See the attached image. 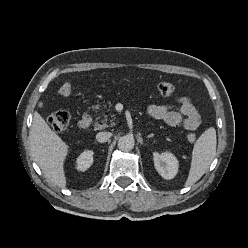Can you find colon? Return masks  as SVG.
Returning <instances> with one entry per match:
<instances>
[{
  "label": "colon",
  "instance_id": "colon-1",
  "mask_svg": "<svg viewBox=\"0 0 248 248\" xmlns=\"http://www.w3.org/2000/svg\"><path fill=\"white\" fill-rule=\"evenodd\" d=\"M158 92L163 96L171 95L174 91V86L169 82H161L157 86ZM72 88L71 85L68 83L63 84L60 89L59 93L62 96H69L71 94ZM70 113L66 110H58L53 112L48 117V124L50 128L55 132H61L68 128L70 124ZM187 140L190 143H194L196 141L195 133H189L187 135Z\"/></svg>",
  "mask_w": 248,
  "mask_h": 248
}]
</instances>
